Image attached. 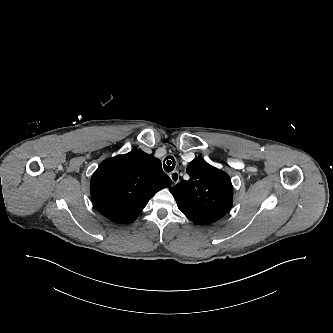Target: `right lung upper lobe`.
<instances>
[{
    "label": "right lung upper lobe",
    "mask_w": 333,
    "mask_h": 333,
    "mask_svg": "<svg viewBox=\"0 0 333 333\" xmlns=\"http://www.w3.org/2000/svg\"><path fill=\"white\" fill-rule=\"evenodd\" d=\"M171 179L161 161L140 149L104 160L91 178L90 192L97 210L115 223H132L148 201Z\"/></svg>",
    "instance_id": "right-lung-upper-lobe-1"
}]
</instances>
